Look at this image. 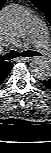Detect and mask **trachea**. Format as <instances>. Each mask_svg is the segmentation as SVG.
<instances>
[{"mask_svg":"<svg viewBox=\"0 0 51 153\" xmlns=\"http://www.w3.org/2000/svg\"><path fill=\"white\" fill-rule=\"evenodd\" d=\"M19 56L34 57V56H42V54L39 52H36V51H31V50L23 51L21 53L15 51V50H11L9 53L5 54L4 56H1V58L3 60H11V59L17 58Z\"/></svg>","mask_w":51,"mask_h":153,"instance_id":"1","label":"trachea"}]
</instances>
